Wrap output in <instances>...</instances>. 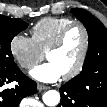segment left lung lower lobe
<instances>
[{"label": "left lung lower lobe", "mask_w": 107, "mask_h": 107, "mask_svg": "<svg viewBox=\"0 0 107 107\" xmlns=\"http://www.w3.org/2000/svg\"><path fill=\"white\" fill-rule=\"evenodd\" d=\"M83 86L71 80L64 84L59 89L61 101L57 107H107V77L103 72L96 73Z\"/></svg>", "instance_id": "obj_1"}]
</instances>
